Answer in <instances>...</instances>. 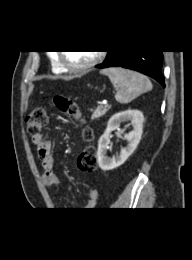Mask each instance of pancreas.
<instances>
[{
    "mask_svg": "<svg viewBox=\"0 0 192 260\" xmlns=\"http://www.w3.org/2000/svg\"><path fill=\"white\" fill-rule=\"evenodd\" d=\"M108 109H109L108 106H103V105L98 106L95 110L91 109V111L93 112L91 119L92 120L99 119L100 117L104 116L107 113Z\"/></svg>",
    "mask_w": 192,
    "mask_h": 260,
    "instance_id": "pancreas-1",
    "label": "pancreas"
}]
</instances>
